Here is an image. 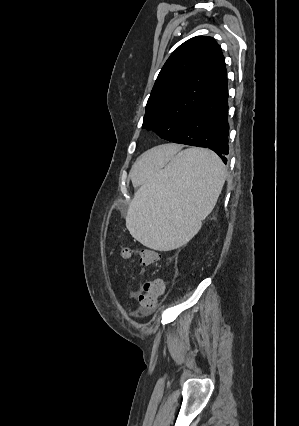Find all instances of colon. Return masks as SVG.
<instances>
[{
    "label": "colon",
    "mask_w": 299,
    "mask_h": 426,
    "mask_svg": "<svg viewBox=\"0 0 299 426\" xmlns=\"http://www.w3.org/2000/svg\"><path fill=\"white\" fill-rule=\"evenodd\" d=\"M121 255L126 259L136 255L140 264L143 266L155 264L160 258L159 253L153 249L132 250L129 247H122ZM164 291L165 281L163 278L156 277L152 280L146 281L137 295L141 313L144 315H150L153 313L160 297L164 294Z\"/></svg>",
    "instance_id": "1"
}]
</instances>
